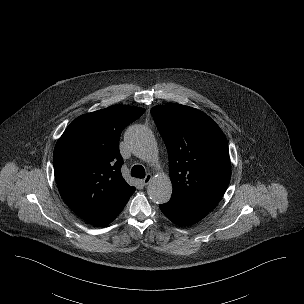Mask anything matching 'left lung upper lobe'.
<instances>
[{
    "label": "left lung upper lobe",
    "instance_id": "left-lung-upper-lobe-1",
    "mask_svg": "<svg viewBox=\"0 0 304 304\" xmlns=\"http://www.w3.org/2000/svg\"><path fill=\"white\" fill-rule=\"evenodd\" d=\"M151 114L168 150L172 197L213 210L231 177L224 133L208 115L189 106H155Z\"/></svg>",
    "mask_w": 304,
    "mask_h": 304
}]
</instances>
